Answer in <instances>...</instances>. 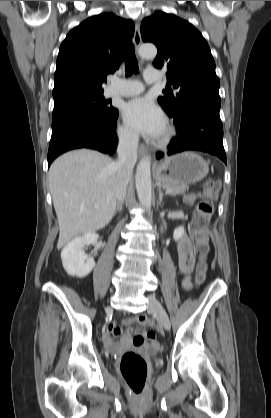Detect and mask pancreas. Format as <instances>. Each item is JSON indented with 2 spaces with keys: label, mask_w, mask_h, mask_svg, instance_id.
<instances>
[{
  "label": "pancreas",
  "mask_w": 271,
  "mask_h": 418,
  "mask_svg": "<svg viewBox=\"0 0 271 418\" xmlns=\"http://www.w3.org/2000/svg\"><path fill=\"white\" fill-rule=\"evenodd\" d=\"M164 189H171L170 195L175 196L177 194H183L186 191H188L189 187L187 184H173V183H167L163 184Z\"/></svg>",
  "instance_id": "pancreas-1"
}]
</instances>
